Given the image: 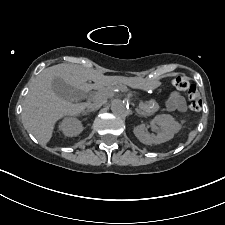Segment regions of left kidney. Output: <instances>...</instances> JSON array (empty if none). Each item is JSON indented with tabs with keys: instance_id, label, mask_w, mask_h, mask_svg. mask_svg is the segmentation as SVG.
I'll return each mask as SVG.
<instances>
[{
	"instance_id": "5707ae66",
	"label": "left kidney",
	"mask_w": 225,
	"mask_h": 225,
	"mask_svg": "<svg viewBox=\"0 0 225 225\" xmlns=\"http://www.w3.org/2000/svg\"><path fill=\"white\" fill-rule=\"evenodd\" d=\"M151 124L160 127V132L157 135L148 133L145 124H140L133 130L138 140L146 145L161 144L169 141L180 130V124L169 114L157 115L151 121Z\"/></svg>"
}]
</instances>
